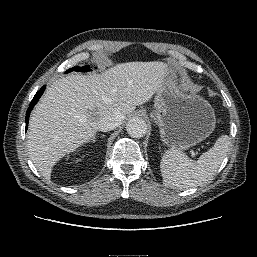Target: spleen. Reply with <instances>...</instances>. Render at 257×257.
Instances as JSON below:
<instances>
[{"mask_svg": "<svg viewBox=\"0 0 257 257\" xmlns=\"http://www.w3.org/2000/svg\"><path fill=\"white\" fill-rule=\"evenodd\" d=\"M229 146L230 137L222 135L196 161L189 159L182 151L167 150L160 162L163 184L171 188L188 189L207 182L217 172Z\"/></svg>", "mask_w": 257, "mask_h": 257, "instance_id": "3e777b00", "label": "spleen"}]
</instances>
